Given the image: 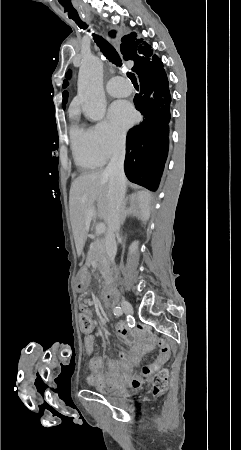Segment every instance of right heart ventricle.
I'll list each match as a JSON object with an SVG mask.
<instances>
[{
	"label": "right heart ventricle",
	"instance_id": "e07e8e85",
	"mask_svg": "<svg viewBox=\"0 0 241 450\" xmlns=\"http://www.w3.org/2000/svg\"><path fill=\"white\" fill-rule=\"evenodd\" d=\"M94 127H88L77 123L70 127V141L73 157L76 164L82 168H95L102 166V160L93 151L92 132Z\"/></svg>",
	"mask_w": 241,
	"mask_h": 450
}]
</instances>
